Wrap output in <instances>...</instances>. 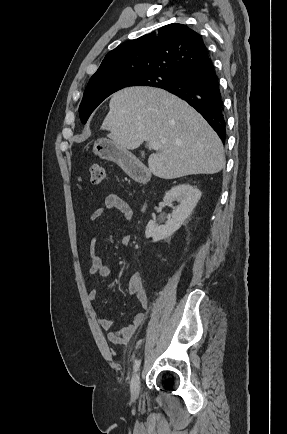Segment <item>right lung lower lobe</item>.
Masks as SVG:
<instances>
[{
    "mask_svg": "<svg viewBox=\"0 0 287 434\" xmlns=\"http://www.w3.org/2000/svg\"><path fill=\"white\" fill-rule=\"evenodd\" d=\"M164 89L194 107L225 142L224 105L211 58L185 69L173 85Z\"/></svg>",
    "mask_w": 287,
    "mask_h": 434,
    "instance_id": "1",
    "label": "right lung lower lobe"
}]
</instances>
